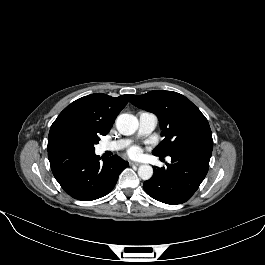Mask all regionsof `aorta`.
<instances>
[{
    "label": "aorta",
    "mask_w": 265,
    "mask_h": 265,
    "mask_svg": "<svg viewBox=\"0 0 265 265\" xmlns=\"http://www.w3.org/2000/svg\"><path fill=\"white\" fill-rule=\"evenodd\" d=\"M116 128L120 134L129 136L136 132L138 123L133 115L125 113L117 117ZM138 175L143 180H149L153 176V168L150 165H141Z\"/></svg>",
    "instance_id": "1"
}]
</instances>
